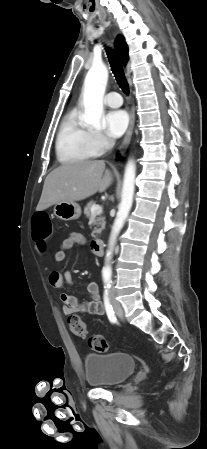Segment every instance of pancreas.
Listing matches in <instances>:
<instances>
[{
    "label": "pancreas",
    "instance_id": "cf45deb5",
    "mask_svg": "<svg viewBox=\"0 0 207 449\" xmlns=\"http://www.w3.org/2000/svg\"><path fill=\"white\" fill-rule=\"evenodd\" d=\"M93 205H95V202L90 201L86 205V207L84 208V214L89 219L93 215L92 212H91V208H92ZM94 225H96V227L94 228L91 236L95 238L104 229V227H105V218L104 217H96V219L94 220Z\"/></svg>",
    "mask_w": 207,
    "mask_h": 449
}]
</instances>
